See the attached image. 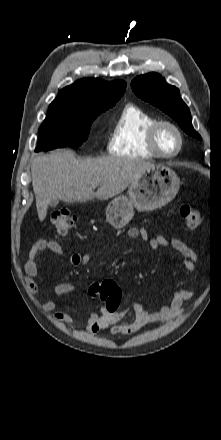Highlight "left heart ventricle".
<instances>
[{
  "mask_svg": "<svg viewBox=\"0 0 221 440\" xmlns=\"http://www.w3.org/2000/svg\"><path fill=\"white\" fill-rule=\"evenodd\" d=\"M159 145L164 152H173L178 145L176 133L169 127H163L159 133Z\"/></svg>",
  "mask_w": 221,
  "mask_h": 440,
  "instance_id": "obj_1",
  "label": "left heart ventricle"
}]
</instances>
